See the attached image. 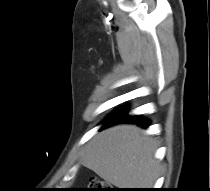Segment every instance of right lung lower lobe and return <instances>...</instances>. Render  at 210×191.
Here are the masks:
<instances>
[{
    "label": "right lung lower lobe",
    "instance_id": "right-lung-lower-lobe-1",
    "mask_svg": "<svg viewBox=\"0 0 210 191\" xmlns=\"http://www.w3.org/2000/svg\"><path fill=\"white\" fill-rule=\"evenodd\" d=\"M128 109L121 108L112 112L104 121L105 125L103 127L111 126L118 123H135L142 127H147L149 125V120L142 117L141 115L128 116Z\"/></svg>",
    "mask_w": 210,
    "mask_h": 191
}]
</instances>
